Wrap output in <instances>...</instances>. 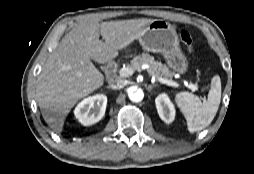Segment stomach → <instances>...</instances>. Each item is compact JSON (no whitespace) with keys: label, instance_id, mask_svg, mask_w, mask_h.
Returning a JSON list of instances; mask_svg holds the SVG:
<instances>
[{"label":"stomach","instance_id":"0dacf381","mask_svg":"<svg viewBox=\"0 0 254 174\" xmlns=\"http://www.w3.org/2000/svg\"><path fill=\"white\" fill-rule=\"evenodd\" d=\"M144 50L161 53L169 68L178 74H185L189 61L182 52L174 26L165 20H154L139 38Z\"/></svg>","mask_w":254,"mask_h":174}]
</instances>
